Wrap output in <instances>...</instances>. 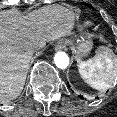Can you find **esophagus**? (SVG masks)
I'll return each mask as SVG.
<instances>
[{"label":"esophagus","mask_w":117,"mask_h":117,"mask_svg":"<svg viewBox=\"0 0 117 117\" xmlns=\"http://www.w3.org/2000/svg\"><path fill=\"white\" fill-rule=\"evenodd\" d=\"M66 45H67V42H66L65 40H60V41H58V42L56 43L55 49H56L57 51L62 50V49H64V48L66 47Z\"/></svg>","instance_id":"34e87169"}]
</instances>
